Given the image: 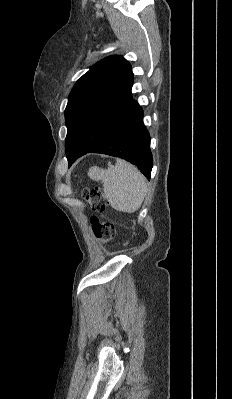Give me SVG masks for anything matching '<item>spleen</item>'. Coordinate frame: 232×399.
<instances>
[{
    "instance_id": "3e777b00",
    "label": "spleen",
    "mask_w": 232,
    "mask_h": 399,
    "mask_svg": "<svg viewBox=\"0 0 232 399\" xmlns=\"http://www.w3.org/2000/svg\"><path fill=\"white\" fill-rule=\"evenodd\" d=\"M88 176L90 180L102 182L106 200L117 211L132 213L141 207L147 186L136 166L117 158L115 166H109L107 170L93 166Z\"/></svg>"
}]
</instances>
